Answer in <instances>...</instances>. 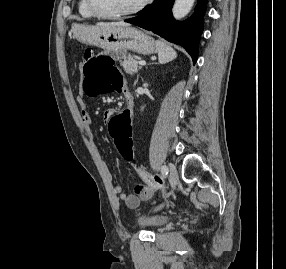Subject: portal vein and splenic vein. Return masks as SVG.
<instances>
[{
    "label": "portal vein and splenic vein",
    "mask_w": 286,
    "mask_h": 269,
    "mask_svg": "<svg viewBox=\"0 0 286 269\" xmlns=\"http://www.w3.org/2000/svg\"><path fill=\"white\" fill-rule=\"evenodd\" d=\"M138 63H139L140 65H145V64H146V62H145L144 60H140Z\"/></svg>",
    "instance_id": "obj_1"
}]
</instances>
